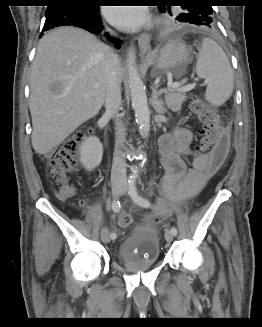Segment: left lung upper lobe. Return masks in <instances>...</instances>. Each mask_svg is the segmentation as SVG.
<instances>
[{
  "label": "left lung upper lobe",
  "mask_w": 262,
  "mask_h": 327,
  "mask_svg": "<svg viewBox=\"0 0 262 327\" xmlns=\"http://www.w3.org/2000/svg\"><path fill=\"white\" fill-rule=\"evenodd\" d=\"M180 9H171V6H159L161 13L171 26L191 27L200 29H213L215 20L213 9L210 5L191 4L192 1H184Z\"/></svg>",
  "instance_id": "left-lung-upper-lobe-1"
}]
</instances>
